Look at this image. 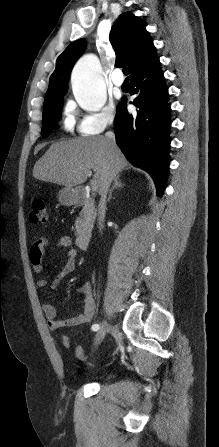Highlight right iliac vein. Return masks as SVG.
<instances>
[{
	"mask_svg": "<svg viewBox=\"0 0 219 447\" xmlns=\"http://www.w3.org/2000/svg\"><path fill=\"white\" fill-rule=\"evenodd\" d=\"M108 330V323L107 322H103L100 329L97 331V333L95 334L94 337V342H93V346L94 348H96L104 339L105 334Z\"/></svg>",
	"mask_w": 219,
	"mask_h": 447,
	"instance_id": "63e3f726",
	"label": "right iliac vein"
}]
</instances>
